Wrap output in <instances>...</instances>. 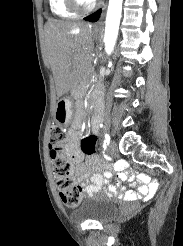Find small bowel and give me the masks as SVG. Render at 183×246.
<instances>
[{
    "mask_svg": "<svg viewBox=\"0 0 183 246\" xmlns=\"http://www.w3.org/2000/svg\"><path fill=\"white\" fill-rule=\"evenodd\" d=\"M98 125L92 124V132H98ZM80 134L76 129L69 131L68 140L66 143V152L70 159L77 163L76 176L80 181L86 178L90 179V184L83 188L86 196H92L95 191L102 187V191L109 192V198H116V196L128 200L137 198H155V194L160 191V183L157 177H150V175H137V182L132 178L131 174H139V169H124L127 165V160H116L117 170H123L116 174V182H110L113 177L111 169L106 168L99 162L97 157H88L83 155L80 151L81 141H79ZM135 183L137 191H128L122 185V182Z\"/></svg>",
    "mask_w": 183,
    "mask_h": 246,
    "instance_id": "1",
    "label": "small bowel"
}]
</instances>
